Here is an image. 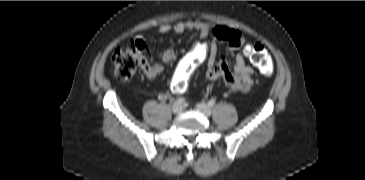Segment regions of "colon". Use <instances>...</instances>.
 I'll return each instance as SVG.
<instances>
[{
	"mask_svg": "<svg viewBox=\"0 0 365 180\" xmlns=\"http://www.w3.org/2000/svg\"><path fill=\"white\" fill-rule=\"evenodd\" d=\"M244 53L252 64L264 76L273 73V61L268 50L260 44H250L244 47ZM148 51L146 44L141 40H133L123 47L117 48L111 57L112 75L119 81L132 79L137 70L147 64ZM186 77L182 76L173 83L176 93L186 90Z\"/></svg>",
	"mask_w": 365,
	"mask_h": 180,
	"instance_id": "1",
	"label": "colon"
}]
</instances>
